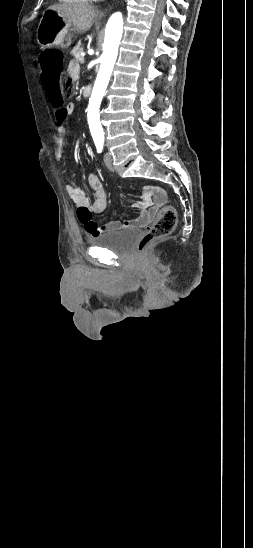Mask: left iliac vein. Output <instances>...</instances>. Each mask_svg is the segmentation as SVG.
I'll use <instances>...</instances> for the list:
<instances>
[{
	"label": "left iliac vein",
	"mask_w": 253,
	"mask_h": 548,
	"mask_svg": "<svg viewBox=\"0 0 253 548\" xmlns=\"http://www.w3.org/2000/svg\"><path fill=\"white\" fill-rule=\"evenodd\" d=\"M104 163H105V165L107 166L108 169L113 170V168H114L113 159H112V155H111L110 152H106V154L104 156Z\"/></svg>",
	"instance_id": "4c4485c4"
}]
</instances>
